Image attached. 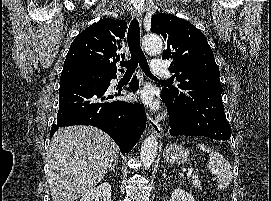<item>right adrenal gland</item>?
<instances>
[{"label":"right adrenal gland","mask_w":271,"mask_h":201,"mask_svg":"<svg viewBox=\"0 0 271 201\" xmlns=\"http://www.w3.org/2000/svg\"><path fill=\"white\" fill-rule=\"evenodd\" d=\"M118 165V159L113 162L112 167L108 170L109 172L113 171L116 172V166Z\"/></svg>","instance_id":"2a0ac1e0"}]
</instances>
